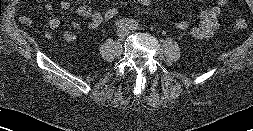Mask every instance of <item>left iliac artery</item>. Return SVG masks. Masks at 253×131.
<instances>
[{"mask_svg": "<svg viewBox=\"0 0 253 131\" xmlns=\"http://www.w3.org/2000/svg\"><path fill=\"white\" fill-rule=\"evenodd\" d=\"M129 28H130L131 30L137 29V28H138V23H137L136 21L132 20V21L130 22V24H129Z\"/></svg>", "mask_w": 253, "mask_h": 131, "instance_id": "44dca946", "label": "left iliac artery"}]
</instances>
